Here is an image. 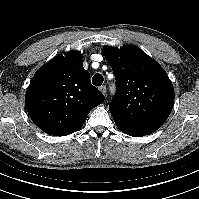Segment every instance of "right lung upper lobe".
I'll list each match as a JSON object with an SVG mask.
<instances>
[{"label": "right lung upper lobe", "mask_w": 199, "mask_h": 199, "mask_svg": "<svg viewBox=\"0 0 199 199\" xmlns=\"http://www.w3.org/2000/svg\"><path fill=\"white\" fill-rule=\"evenodd\" d=\"M90 83L79 51H69L41 67L26 92L32 121L45 133L66 136L82 127L87 115L104 101Z\"/></svg>", "instance_id": "obj_1"}]
</instances>
